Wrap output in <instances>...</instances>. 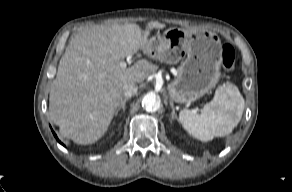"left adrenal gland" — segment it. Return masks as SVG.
<instances>
[{"mask_svg": "<svg viewBox=\"0 0 292 192\" xmlns=\"http://www.w3.org/2000/svg\"><path fill=\"white\" fill-rule=\"evenodd\" d=\"M170 107L172 109V112H171V121H173L174 119H177L178 120V117L175 113V108H174V103L172 100H170Z\"/></svg>", "mask_w": 292, "mask_h": 192, "instance_id": "left-adrenal-gland-1", "label": "left adrenal gland"}]
</instances>
